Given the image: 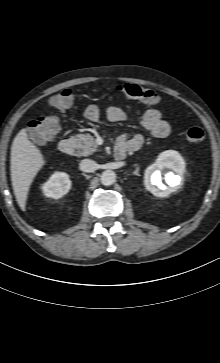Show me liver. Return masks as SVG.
Wrapping results in <instances>:
<instances>
[{
	"instance_id": "obj_1",
	"label": "liver",
	"mask_w": 220,
	"mask_h": 363,
	"mask_svg": "<svg viewBox=\"0 0 220 363\" xmlns=\"http://www.w3.org/2000/svg\"><path fill=\"white\" fill-rule=\"evenodd\" d=\"M10 163L14 195L20 208L25 211L30 185L45 165L40 149L29 140L25 128L13 140Z\"/></svg>"
}]
</instances>
